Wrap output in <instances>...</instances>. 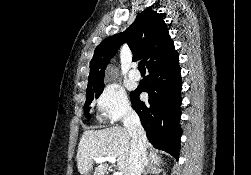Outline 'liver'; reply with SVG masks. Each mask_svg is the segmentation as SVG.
Segmentation results:
<instances>
[{"label": "liver", "mask_w": 251, "mask_h": 175, "mask_svg": "<svg viewBox=\"0 0 251 175\" xmlns=\"http://www.w3.org/2000/svg\"><path fill=\"white\" fill-rule=\"evenodd\" d=\"M151 149V145L147 143ZM131 137L126 127H106V129H88L84 131L77 151V167L81 175H104L109 165L108 163H98L94 171V157H105L112 155L117 157V167L123 175H127L130 165ZM151 163H162L157 151L151 149L149 153Z\"/></svg>", "instance_id": "liver-1"}]
</instances>
